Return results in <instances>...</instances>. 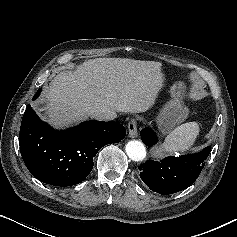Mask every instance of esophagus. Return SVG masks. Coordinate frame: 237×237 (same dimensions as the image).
<instances>
[{
    "label": "esophagus",
    "instance_id": "1",
    "mask_svg": "<svg viewBox=\"0 0 237 237\" xmlns=\"http://www.w3.org/2000/svg\"><path fill=\"white\" fill-rule=\"evenodd\" d=\"M128 132L130 138H136L138 136V130H137V122L135 120H131L128 123Z\"/></svg>",
    "mask_w": 237,
    "mask_h": 237
}]
</instances>
